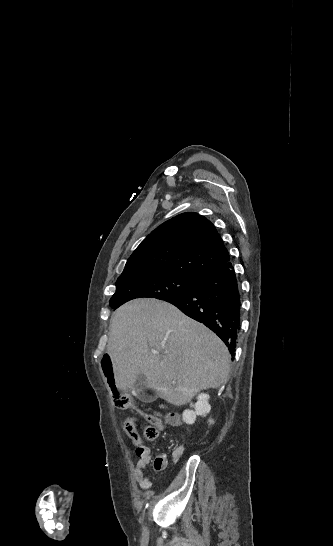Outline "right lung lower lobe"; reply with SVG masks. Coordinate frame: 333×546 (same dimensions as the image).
Listing matches in <instances>:
<instances>
[{
	"label": "right lung lower lobe",
	"instance_id": "1",
	"mask_svg": "<svg viewBox=\"0 0 333 546\" xmlns=\"http://www.w3.org/2000/svg\"><path fill=\"white\" fill-rule=\"evenodd\" d=\"M215 332L235 355L240 331V287L228 261L202 276L191 290L164 299Z\"/></svg>",
	"mask_w": 333,
	"mask_h": 546
}]
</instances>
